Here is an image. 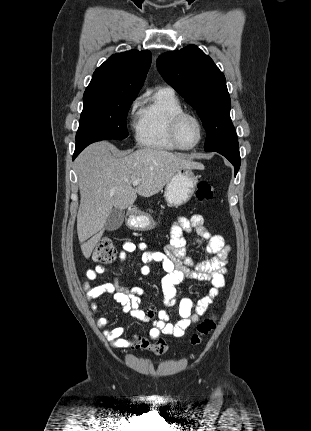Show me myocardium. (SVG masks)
<instances>
[{
	"label": "myocardium",
	"mask_w": 311,
	"mask_h": 431,
	"mask_svg": "<svg viewBox=\"0 0 311 431\" xmlns=\"http://www.w3.org/2000/svg\"><path fill=\"white\" fill-rule=\"evenodd\" d=\"M188 116L194 117L198 121L200 128H201V135L199 136L198 141L191 146L183 145L181 140H180V137H179V127H180L181 121L185 117H188ZM170 131H171L172 140H173L174 144L179 149H181V150H192L201 144L204 136L206 135V125H205L204 120L202 119V117L200 115H198L197 113L192 112V111L184 110V111L177 113L172 118Z\"/></svg>",
	"instance_id": "myocardium-1"
}]
</instances>
